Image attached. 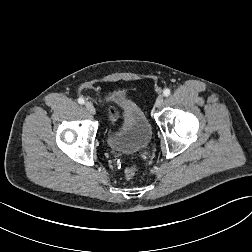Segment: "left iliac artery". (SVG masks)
<instances>
[{"mask_svg":"<svg viewBox=\"0 0 252 252\" xmlns=\"http://www.w3.org/2000/svg\"><path fill=\"white\" fill-rule=\"evenodd\" d=\"M170 90L169 89H165L164 91H163V94H164V96H169L170 95Z\"/></svg>","mask_w":252,"mask_h":252,"instance_id":"44dca946","label":"left iliac artery"}]
</instances>
